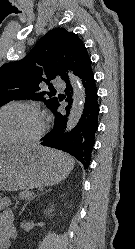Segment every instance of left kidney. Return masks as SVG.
Masks as SVG:
<instances>
[{
	"label": "left kidney",
	"instance_id": "5707ae66",
	"mask_svg": "<svg viewBox=\"0 0 135 249\" xmlns=\"http://www.w3.org/2000/svg\"><path fill=\"white\" fill-rule=\"evenodd\" d=\"M53 212V207L45 211L46 215L51 216L50 214Z\"/></svg>",
	"mask_w": 135,
	"mask_h": 249
}]
</instances>
